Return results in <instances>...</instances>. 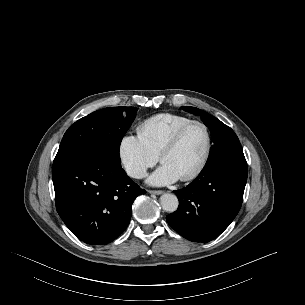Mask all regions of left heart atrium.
I'll use <instances>...</instances> for the list:
<instances>
[{"label":"left heart atrium","mask_w":305,"mask_h":305,"mask_svg":"<svg viewBox=\"0 0 305 305\" xmlns=\"http://www.w3.org/2000/svg\"><path fill=\"white\" fill-rule=\"evenodd\" d=\"M179 179V176L167 165L163 164L149 177L153 185H166Z\"/></svg>","instance_id":"39dd6f15"}]
</instances>
